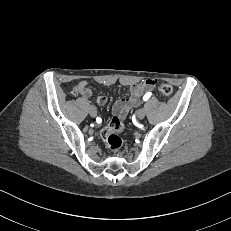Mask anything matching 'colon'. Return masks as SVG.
I'll use <instances>...</instances> for the list:
<instances>
[{
  "instance_id": "5ec220e1",
  "label": "colon",
  "mask_w": 231,
  "mask_h": 231,
  "mask_svg": "<svg viewBox=\"0 0 231 231\" xmlns=\"http://www.w3.org/2000/svg\"><path fill=\"white\" fill-rule=\"evenodd\" d=\"M158 89L165 96H170L173 93L172 86L166 83L159 84ZM123 130L124 123L122 121V118L119 116H114L109 121L107 126L101 131L102 139L111 151L117 152L121 149L123 145L121 133L123 132Z\"/></svg>"
}]
</instances>
